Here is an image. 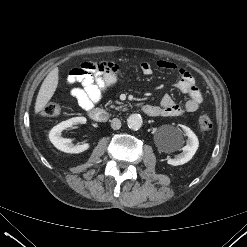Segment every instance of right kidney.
Returning <instances> with one entry per match:
<instances>
[{
    "instance_id": "ca27d5eb",
    "label": "right kidney",
    "mask_w": 247,
    "mask_h": 247,
    "mask_svg": "<svg viewBox=\"0 0 247 247\" xmlns=\"http://www.w3.org/2000/svg\"><path fill=\"white\" fill-rule=\"evenodd\" d=\"M85 117H74L68 119L66 121H62L61 123L54 126L50 133L49 139L51 143L59 150L65 153H81L89 149L90 145L88 143H84L82 145H73L71 139L63 138L62 131L66 128L72 127L76 124H85Z\"/></svg>"
}]
</instances>
